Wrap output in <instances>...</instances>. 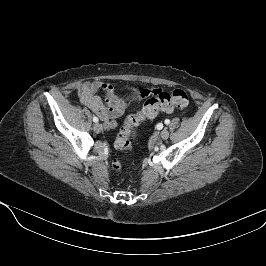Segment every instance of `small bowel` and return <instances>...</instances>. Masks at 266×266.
Returning a JSON list of instances; mask_svg holds the SVG:
<instances>
[{"label":"small bowel","instance_id":"1","mask_svg":"<svg viewBox=\"0 0 266 266\" xmlns=\"http://www.w3.org/2000/svg\"><path fill=\"white\" fill-rule=\"evenodd\" d=\"M98 91L105 93V99L97 95ZM155 91L158 90L153 92ZM77 92L81 103L98 115L108 129L116 126V119L123 115L130 103L129 97L117 94L114 86L109 82H85L79 86ZM148 94V90L140 91L141 97H145Z\"/></svg>","mask_w":266,"mask_h":266}]
</instances>
